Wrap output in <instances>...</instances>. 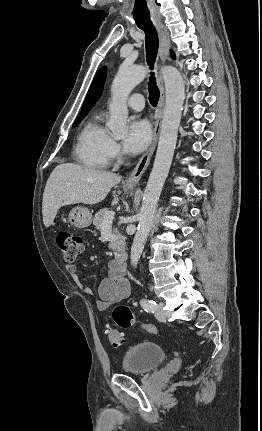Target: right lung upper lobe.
Here are the masks:
<instances>
[{
	"mask_svg": "<svg viewBox=\"0 0 262 431\" xmlns=\"http://www.w3.org/2000/svg\"><path fill=\"white\" fill-rule=\"evenodd\" d=\"M105 76H106V69L103 67L98 71L95 78L93 79V82L87 93V96L85 98V101L79 116H86L88 111L94 106L96 101H98V99L100 98L103 91V83L105 80Z\"/></svg>",
	"mask_w": 262,
	"mask_h": 431,
	"instance_id": "right-lung-upper-lobe-1",
	"label": "right lung upper lobe"
}]
</instances>
